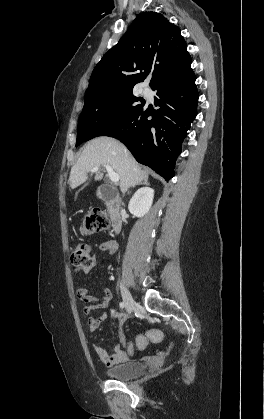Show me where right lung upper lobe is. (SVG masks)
Returning a JSON list of instances; mask_svg holds the SVG:
<instances>
[{
    "label": "right lung upper lobe",
    "instance_id": "cb5924a9",
    "mask_svg": "<svg viewBox=\"0 0 264 419\" xmlns=\"http://www.w3.org/2000/svg\"><path fill=\"white\" fill-rule=\"evenodd\" d=\"M190 64L180 29L160 13L144 12L96 65L86 96L133 90L148 73H152V87L192 72Z\"/></svg>",
    "mask_w": 264,
    "mask_h": 419
}]
</instances>
